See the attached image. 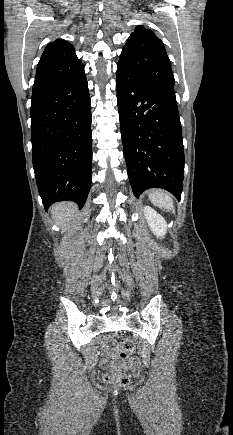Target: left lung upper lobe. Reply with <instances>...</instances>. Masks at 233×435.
Returning <instances> with one entry per match:
<instances>
[{"instance_id":"1","label":"left lung upper lobe","mask_w":233,"mask_h":435,"mask_svg":"<svg viewBox=\"0 0 233 435\" xmlns=\"http://www.w3.org/2000/svg\"><path fill=\"white\" fill-rule=\"evenodd\" d=\"M117 65L152 87L175 93V79L164 44L142 25L128 38Z\"/></svg>"}]
</instances>
